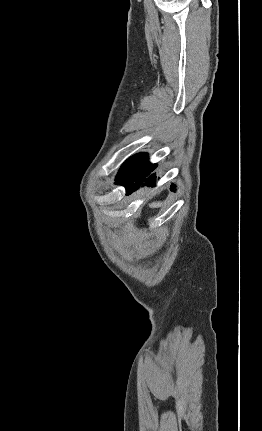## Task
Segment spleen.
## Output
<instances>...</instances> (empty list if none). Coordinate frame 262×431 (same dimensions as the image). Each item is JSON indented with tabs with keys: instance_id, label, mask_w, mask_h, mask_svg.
<instances>
[{
	"instance_id": "obj_1",
	"label": "spleen",
	"mask_w": 262,
	"mask_h": 431,
	"mask_svg": "<svg viewBox=\"0 0 262 431\" xmlns=\"http://www.w3.org/2000/svg\"><path fill=\"white\" fill-rule=\"evenodd\" d=\"M160 206H161V203H153L150 205V207H155V208Z\"/></svg>"
}]
</instances>
